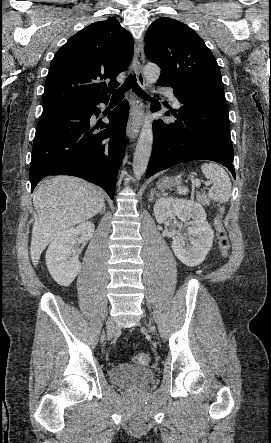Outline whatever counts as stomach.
Returning <instances> with one entry per match:
<instances>
[{
	"mask_svg": "<svg viewBox=\"0 0 271 443\" xmlns=\"http://www.w3.org/2000/svg\"><path fill=\"white\" fill-rule=\"evenodd\" d=\"M182 184L181 178H162L157 184L158 190H168V188H173V186H180Z\"/></svg>",
	"mask_w": 271,
	"mask_h": 443,
	"instance_id": "stomach-1",
	"label": "stomach"
}]
</instances>
